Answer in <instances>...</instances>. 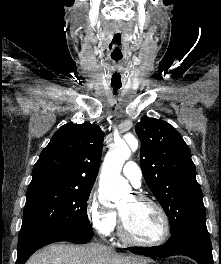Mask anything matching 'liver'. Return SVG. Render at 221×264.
I'll return each instance as SVG.
<instances>
[{"mask_svg":"<svg viewBox=\"0 0 221 264\" xmlns=\"http://www.w3.org/2000/svg\"><path fill=\"white\" fill-rule=\"evenodd\" d=\"M141 256L116 254L100 244H53L38 251L26 264H147Z\"/></svg>","mask_w":221,"mask_h":264,"instance_id":"6515ba94","label":"liver"}]
</instances>
